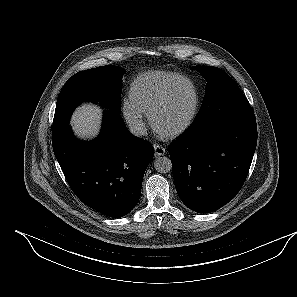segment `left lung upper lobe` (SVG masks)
Wrapping results in <instances>:
<instances>
[{"mask_svg": "<svg viewBox=\"0 0 297 297\" xmlns=\"http://www.w3.org/2000/svg\"><path fill=\"white\" fill-rule=\"evenodd\" d=\"M191 68L198 71L207 81L201 110L208 108L210 113L214 114L225 106L248 102L234 80L222 69L212 66ZM201 114L199 110L194 121H199Z\"/></svg>", "mask_w": 297, "mask_h": 297, "instance_id": "obj_1", "label": "left lung upper lobe"}]
</instances>
